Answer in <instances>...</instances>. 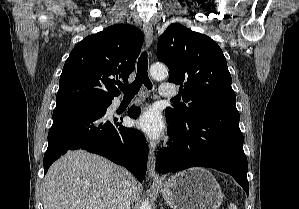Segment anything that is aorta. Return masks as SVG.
I'll return each instance as SVG.
<instances>
[{
    "mask_svg": "<svg viewBox=\"0 0 299 209\" xmlns=\"http://www.w3.org/2000/svg\"><path fill=\"white\" fill-rule=\"evenodd\" d=\"M150 75L156 80L165 79L168 76V69L163 64H154L150 67ZM140 209H152L148 200L144 201Z\"/></svg>",
    "mask_w": 299,
    "mask_h": 209,
    "instance_id": "obj_1",
    "label": "aorta"
}]
</instances>
